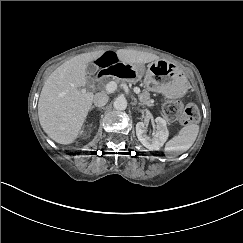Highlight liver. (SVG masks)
<instances>
[{"instance_id": "1", "label": "liver", "mask_w": 243, "mask_h": 243, "mask_svg": "<svg viewBox=\"0 0 243 243\" xmlns=\"http://www.w3.org/2000/svg\"><path fill=\"white\" fill-rule=\"evenodd\" d=\"M105 50L82 53L57 67L46 79L38 101L39 122L49 138L61 145L75 143L93 104L92 92L82 93L88 64L98 60ZM118 61L142 65L160 57L149 52L118 49Z\"/></svg>"}]
</instances>
